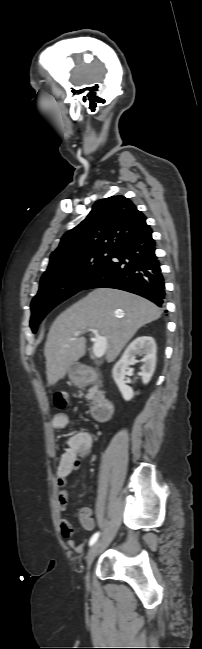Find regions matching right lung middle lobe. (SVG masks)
I'll list each match as a JSON object with an SVG mask.
<instances>
[{
    "instance_id": "obj_1",
    "label": "right lung middle lobe",
    "mask_w": 202,
    "mask_h": 649,
    "mask_svg": "<svg viewBox=\"0 0 202 649\" xmlns=\"http://www.w3.org/2000/svg\"><path fill=\"white\" fill-rule=\"evenodd\" d=\"M112 253L93 251L80 255L65 263L59 271L41 277L39 291L31 302L30 327L33 333L55 306L84 289L110 261Z\"/></svg>"
}]
</instances>
